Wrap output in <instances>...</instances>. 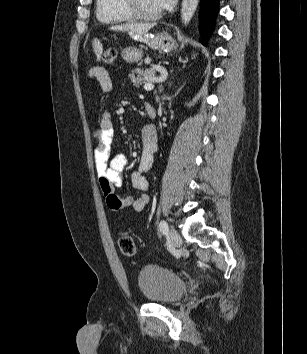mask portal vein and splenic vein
<instances>
[{
  "label": "portal vein and splenic vein",
  "mask_w": 307,
  "mask_h": 354,
  "mask_svg": "<svg viewBox=\"0 0 307 354\" xmlns=\"http://www.w3.org/2000/svg\"><path fill=\"white\" fill-rule=\"evenodd\" d=\"M163 80H164L163 77L154 78L153 80H150L148 83H145L144 89L146 91H150V90L154 89V85L152 84V82H154V81H159L160 82V81H163Z\"/></svg>",
  "instance_id": "obj_1"
}]
</instances>
